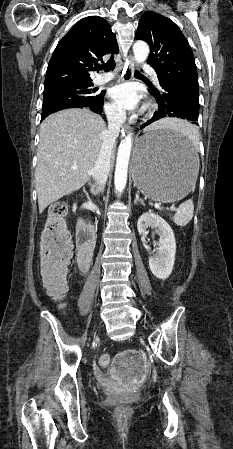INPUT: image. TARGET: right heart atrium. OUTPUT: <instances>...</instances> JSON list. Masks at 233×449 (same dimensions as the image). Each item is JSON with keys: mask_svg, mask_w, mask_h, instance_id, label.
I'll use <instances>...</instances> for the list:
<instances>
[{"mask_svg": "<svg viewBox=\"0 0 233 449\" xmlns=\"http://www.w3.org/2000/svg\"><path fill=\"white\" fill-rule=\"evenodd\" d=\"M105 111L111 120L119 121L121 119V113L114 104H106Z\"/></svg>", "mask_w": 233, "mask_h": 449, "instance_id": "right-heart-atrium-1", "label": "right heart atrium"}]
</instances>
